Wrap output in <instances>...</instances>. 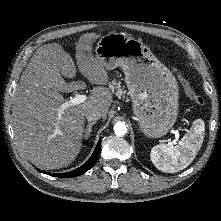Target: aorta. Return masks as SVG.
I'll return each mask as SVG.
<instances>
[{
  "label": "aorta",
  "mask_w": 221,
  "mask_h": 221,
  "mask_svg": "<svg viewBox=\"0 0 221 221\" xmlns=\"http://www.w3.org/2000/svg\"><path fill=\"white\" fill-rule=\"evenodd\" d=\"M114 131L116 133V135L118 136H123L127 133V128L124 122H117L114 125Z\"/></svg>",
  "instance_id": "762f6f07"
}]
</instances>
